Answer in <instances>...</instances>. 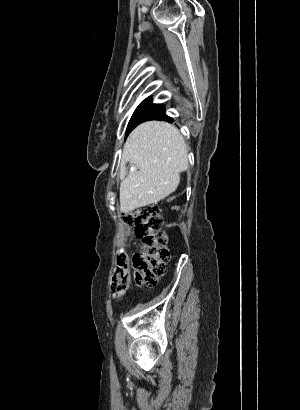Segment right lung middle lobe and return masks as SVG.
I'll return each mask as SVG.
<instances>
[{
	"label": "right lung middle lobe",
	"mask_w": 300,
	"mask_h": 410,
	"mask_svg": "<svg viewBox=\"0 0 300 410\" xmlns=\"http://www.w3.org/2000/svg\"><path fill=\"white\" fill-rule=\"evenodd\" d=\"M165 110L164 106L161 104H153L151 98L148 97L143 100L139 106L134 111L126 131V136L130 131L137 126L139 123L143 122L147 118L159 114Z\"/></svg>",
	"instance_id": "right-lung-middle-lobe-1"
}]
</instances>
